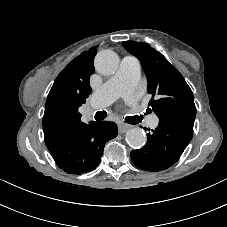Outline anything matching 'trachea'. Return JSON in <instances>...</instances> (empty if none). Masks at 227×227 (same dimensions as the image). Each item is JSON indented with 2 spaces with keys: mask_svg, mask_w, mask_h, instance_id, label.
I'll return each mask as SVG.
<instances>
[{
  "mask_svg": "<svg viewBox=\"0 0 227 227\" xmlns=\"http://www.w3.org/2000/svg\"><path fill=\"white\" fill-rule=\"evenodd\" d=\"M106 116H107V113L105 112V111H98V112H96V114H95V119L96 120H103V119H105L106 118ZM136 119L139 121V122H141V120L143 119L142 118V116H136Z\"/></svg>",
  "mask_w": 227,
  "mask_h": 227,
  "instance_id": "3493384b",
  "label": "trachea"
}]
</instances>
